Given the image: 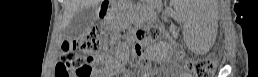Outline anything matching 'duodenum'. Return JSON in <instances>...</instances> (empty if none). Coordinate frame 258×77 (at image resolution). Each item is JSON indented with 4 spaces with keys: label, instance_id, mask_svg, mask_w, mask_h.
<instances>
[{
    "label": "duodenum",
    "instance_id": "duodenum-1",
    "mask_svg": "<svg viewBox=\"0 0 258 77\" xmlns=\"http://www.w3.org/2000/svg\"><path fill=\"white\" fill-rule=\"evenodd\" d=\"M108 12H109V7H108V5L102 6V13H103V15H107Z\"/></svg>",
    "mask_w": 258,
    "mask_h": 77
}]
</instances>
